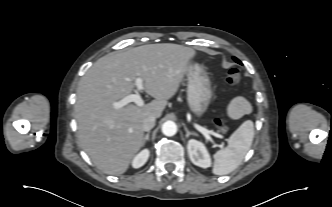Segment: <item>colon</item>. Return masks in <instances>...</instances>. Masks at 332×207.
Segmentation results:
<instances>
[{
    "instance_id": "obj_1",
    "label": "colon",
    "mask_w": 332,
    "mask_h": 207,
    "mask_svg": "<svg viewBox=\"0 0 332 207\" xmlns=\"http://www.w3.org/2000/svg\"><path fill=\"white\" fill-rule=\"evenodd\" d=\"M240 81V72L233 68L230 69L226 74V82L229 85H236ZM215 124L220 133H226L228 131L227 125L220 118L215 119Z\"/></svg>"
}]
</instances>
